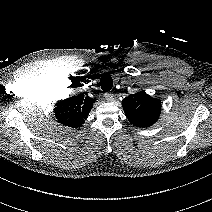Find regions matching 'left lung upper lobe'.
Returning <instances> with one entry per match:
<instances>
[{"label": "left lung upper lobe", "mask_w": 212, "mask_h": 212, "mask_svg": "<svg viewBox=\"0 0 212 212\" xmlns=\"http://www.w3.org/2000/svg\"><path fill=\"white\" fill-rule=\"evenodd\" d=\"M122 106L130 123L141 128L155 124L161 112V102L145 92L129 95L122 101Z\"/></svg>", "instance_id": "5c2ea615"}]
</instances>
